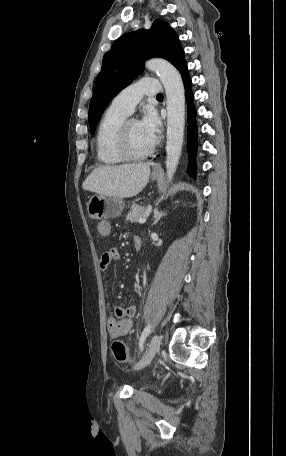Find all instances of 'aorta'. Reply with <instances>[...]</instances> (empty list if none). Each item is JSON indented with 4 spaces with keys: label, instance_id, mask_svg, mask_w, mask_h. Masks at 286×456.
Returning <instances> with one entry per match:
<instances>
[{
    "label": "aorta",
    "instance_id": "obj_1",
    "mask_svg": "<svg viewBox=\"0 0 286 456\" xmlns=\"http://www.w3.org/2000/svg\"><path fill=\"white\" fill-rule=\"evenodd\" d=\"M145 67L158 74L166 93V176L172 180L181 156L185 126V90L178 70L163 59H151Z\"/></svg>",
    "mask_w": 286,
    "mask_h": 456
}]
</instances>
